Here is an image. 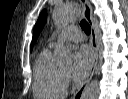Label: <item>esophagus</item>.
I'll use <instances>...</instances> for the list:
<instances>
[{
  "instance_id": "1",
  "label": "esophagus",
  "mask_w": 128,
  "mask_h": 99,
  "mask_svg": "<svg viewBox=\"0 0 128 99\" xmlns=\"http://www.w3.org/2000/svg\"><path fill=\"white\" fill-rule=\"evenodd\" d=\"M80 3L82 4V8H83V12H82L83 18L91 26L90 43H91V47L93 50V60H92L91 70H90V74H89L88 78L78 88V90L76 91V93L73 96V99H82L83 98L84 92L94 74V70L96 68L97 61H98V41H97V33H96V29H95V23H94L93 16H92V8H91V5L88 0H80Z\"/></svg>"
}]
</instances>
